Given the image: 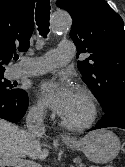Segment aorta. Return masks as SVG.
<instances>
[{
  "label": "aorta",
  "mask_w": 125,
  "mask_h": 167,
  "mask_svg": "<svg viewBox=\"0 0 125 167\" xmlns=\"http://www.w3.org/2000/svg\"><path fill=\"white\" fill-rule=\"evenodd\" d=\"M72 24L71 17L65 12H57L52 17V33H64Z\"/></svg>",
  "instance_id": "762f6f07"
}]
</instances>
